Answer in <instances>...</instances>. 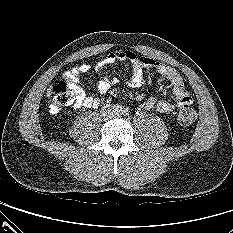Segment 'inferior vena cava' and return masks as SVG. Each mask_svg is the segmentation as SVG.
Returning a JSON list of instances; mask_svg holds the SVG:
<instances>
[{
  "label": "inferior vena cava",
  "instance_id": "602c4592",
  "mask_svg": "<svg viewBox=\"0 0 233 233\" xmlns=\"http://www.w3.org/2000/svg\"><path fill=\"white\" fill-rule=\"evenodd\" d=\"M113 116V113L111 114V113H109L108 115H107V118H111Z\"/></svg>",
  "mask_w": 233,
  "mask_h": 233
}]
</instances>
